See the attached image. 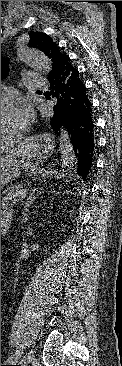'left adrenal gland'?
Here are the masks:
<instances>
[{
	"label": "left adrenal gland",
	"mask_w": 122,
	"mask_h": 366,
	"mask_svg": "<svg viewBox=\"0 0 122 366\" xmlns=\"http://www.w3.org/2000/svg\"><path fill=\"white\" fill-rule=\"evenodd\" d=\"M32 191L33 192L29 194V196L27 197V199L25 201V206H24L25 207V210H28L27 208L30 206V204H31V202H32V200L34 198L33 194L35 193L34 192L35 190H32Z\"/></svg>",
	"instance_id": "obj_1"
}]
</instances>
